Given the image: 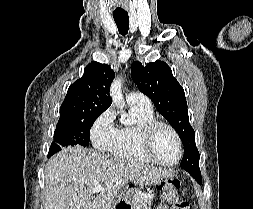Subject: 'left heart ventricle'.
<instances>
[{"instance_id":"obj_1","label":"left heart ventricle","mask_w":253,"mask_h":209,"mask_svg":"<svg viewBox=\"0 0 253 209\" xmlns=\"http://www.w3.org/2000/svg\"><path fill=\"white\" fill-rule=\"evenodd\" d=\"M151 150L153 154L163 162H173L177 157L176 140L165 127H158L152 138Z\"/></svg>"}]
</instances>
